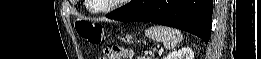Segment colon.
<instances>
[{
    "label": "colon",
    "mask_w": 261,
    "mask_h": 59,
    "mask_svg": "<svg viewBox=\"0 0 261 59\" xmlns=\"http://www.w3.org/2000/svg\"><path fill=\"white\" fill-rule=\"evenodd\" d=\"M75 27L78 34L85 41L91 44L97 45L102 43V41L104 40L103 27L98 23L76 21ZM129 57H131V52L120 46H113L104 49L103 59H119Z\"/></svg>",
    "instance_id": "1"
}]
</instances>
